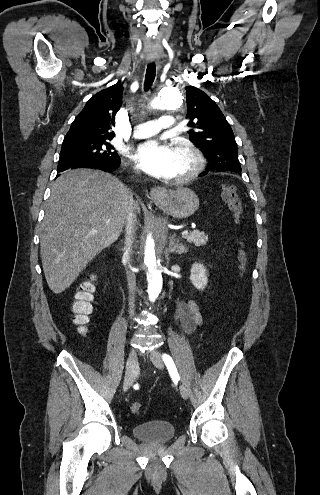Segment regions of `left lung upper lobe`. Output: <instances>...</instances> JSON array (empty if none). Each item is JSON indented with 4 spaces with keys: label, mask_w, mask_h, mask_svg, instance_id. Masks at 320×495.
Instances as JSON below:
<instances>
[{
    "label": "left lung upper lobe",
    "mask_w": 320,
    "mask_h": 495,
    "mask_svg": "<svg viewBox=\"0 0 320 495\" xmlns=\"http://www.w3.org/2000/svg\"><path fill=\"white\" fill-rule=\"evenodd\" d=\"M187 117L190 141L199 146L210 162L209 171L241 174L238 148L230 124L217 104L200 89L188 86Z\"/></svg>",
    "instance_id": "1"
}]
</instances>
